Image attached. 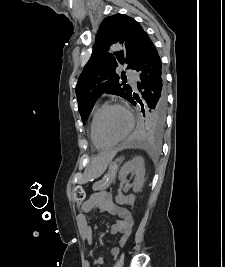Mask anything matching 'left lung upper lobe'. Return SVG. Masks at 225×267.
<instances>
[{
  "instance_id": "5c2ea615",
  "label": "left lung upper lobe",
  "mask_w": 225,
  "mask_h": 267,
  "mask_svg": "<svg viewBox=\"0 0 225 267\" xmlns=\"http://www.w3.org/2000/svg\"><path fill=\"white\" fill-rule=\"evenodd\" d=\"M146 35L135 19L123 14L106 17L101 23L91 58L85 65L76 86L82 121L87 119L95 101L103 93L119 95L130 100L132 89L124 82L119 83L116 68L124 64L128 65V69L135 68ZM115 42L124 44L125 52L109 53V46ZM164 123L165 118H156L151 111L146 110V128L149 132L160 134Z\"/></svg>"
}]
</instances>
